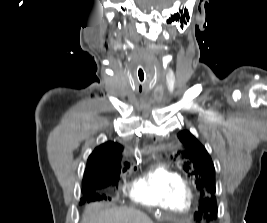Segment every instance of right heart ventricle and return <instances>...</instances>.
Here are the masks:
<instances>
[{
	"mask_svg": "<svg viewBox=\"0 0 267 223\" xmlns=\"http://www.w3.org/2000/svg\"><path fill=\"white\" fill-rule=\"evenodd\" d=\"M127 195L137 204L175 212L188 210L194 197L187 179L165 164L156 165L137 178Z\"/></svg>",
	"mask_w": 267,
	"mask_h": 223,
	"instance_id": "e07e8e85",
	"label": "right heart ventricle"
}]
</instances>
